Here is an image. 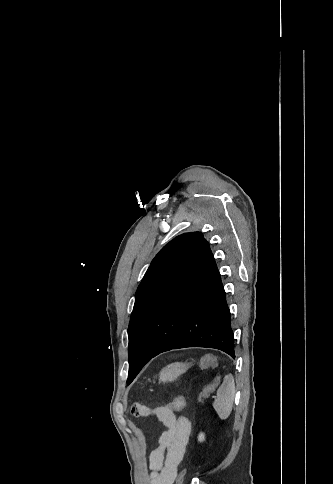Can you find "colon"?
I'll list each match as a JSON object with an SVG mask.
<instances>
[{
  "instance_id": "colon-1",
  "label": "colon",
  "mask_w": 333,
  "mask_h": 484,
  "mask_svg": "<svg viewBox=\"0 0 333 484\" xmlns=\"http://www.w3.org/2000/svg\"><path fill=\"white\" fill-rule=\"evenodd\" d=\"M215 366V361L213 357L206 356L200 361L201 368H208ZM220 377L213 378L207 385L203 387L199 394V400H205L219 385ZM185 398L182 395L176 396L171 402H169L165 407L171 411H181L185 407ZM185 470L181 471L177 477L176 484H182L185 477Z\"/></svg>"
}]
</instances>
